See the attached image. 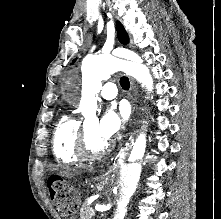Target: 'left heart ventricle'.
Listing matches in <instances>:
<instances>
[{"mask_svg": "<svg viewBox=\"0 0 221 219\" xmlns=\"http://www.w3.org/2000/svg\"><path fill=\"white\" fill-rule=\"evenodd\" d=\"M85 126L88 147L93 151H99L106 144V141L100 138L97 134V121L95 119H90L86 122Z\"/></svg>", "mask_w": 221, "mask_h": 219, "instance_id": "1", "label": "left heart ventricle"}]
</instances>
